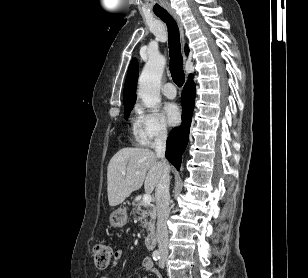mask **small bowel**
<instances>
[{
    "mask_svg": "<svg viewBox=\"0 0 308 278\" xmlns=\"http://www.w3.org/2000/svg\"><path fill=\"white\" fill-rule=\"evenodd\" d=\"M123 254L124 250L122 248L115 249L113 252L114 263H116L119 259H121ZM141 266L146 271L151 272L155 278H161L160 273L154 268L153 262L150 258H144L141 262ZM101 278H108V276H103Z\"/></svg>",
    "mask_w": 308,
    "mask_h": 278,
    "instance_id": "small-bowel-1",
    "label": "small bowel"
}]
</instances>
